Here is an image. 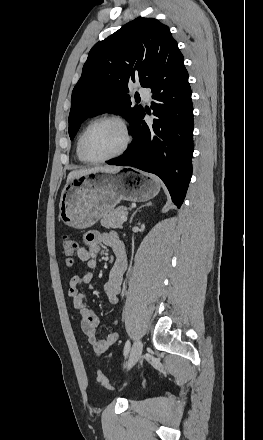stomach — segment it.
Masks as SVG:
<instances>
[{
  "label": "stomach",
  "mask_w": 263,
  "mask_h": 440,
  "mask_svg": "<svg viewBox=\"0 0 263 440\" xmlns=\"http://www.w3.org/2000/svg\"><path fill=\"white\" fill-rule=\"evenodd\" d=\"M159 191L160 181L145 173L82 175L69 180L63 188L59 219L69 227L86 229L111 212L120 201H148Z\"/></svg>",
  "instance_id": "obj_1"
}]
</instances>
